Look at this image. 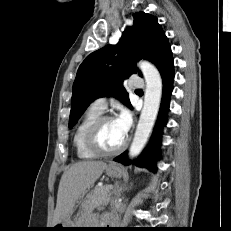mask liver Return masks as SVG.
Wrapping results in <instances>:
<instances>
[{
  "mask_svg": "<svg viewBox=\"0 0 231 231\" xmlns=\"http://www.w3.org/2000/svg\"><path fill=\"white\" fill-rule=\"evenodd\" d=\"M106 166L102 161H80L63 173L58 188L53 226L70 218L76 202L102 175Z\"/></svg>",
  "mask_w": 231,
  "mask_h": 231,
  "instance_id": "6515ba94",
  "label": "liver"
}]
</instances>
